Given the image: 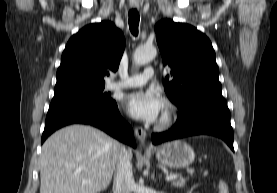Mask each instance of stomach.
I'll list each match as a JSON object with an SVG mask.
<instances>
[{
    "label": "stomach",
    "instance_id": "1",
    "mask_svg": "<svg viewBox=\"0 0 277 193\" xmlns=\"http://www.w3.org/2000/svg\"><path fill=\"white\" fill-rule=\"evenodd\" d=\"M157 160L170 168H184L195 159L193 148L182 140L167 142L156 150Z\"/></svg>",
    "mask_w": 277,
    "mask_h": 193
}]
</instances>
